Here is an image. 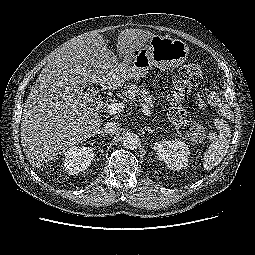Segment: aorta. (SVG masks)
<instances>
[{"instance_id":"1","label":"aorta","mask_w":255,"mask_h":255,"mask_svg":"<svg viewBox=\"0 0 255 255\" xmlns=\"http://www.w3.org/2000/svg\"><path fill=\"white\" fill-rule=\"evenodd\" d=\"M140 144L139 137L134 133H126L123 136V146L126 149L134 150L136 149Z\"/></svg>"}]
</instances>
